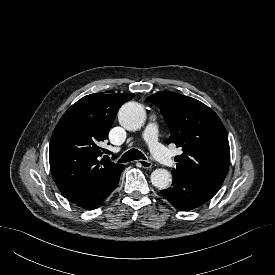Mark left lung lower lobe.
Wrapping results in <instances>:
<instances>
[{"instance_id": "1", "label": "left lung lower lobe", "mask_w": 275, "mask_h": 275, "mask_svg": "<svg viewBox=\"0 0 275 275\" xmlns=\"http://www.w3.org/2000/svg\"><path fill=\"white\" fill-rule=\"evenodd\" d=\"M218 189L195 180L173 175L172 186L162 190L161 194L176 208L186 211L200 207L207 202Z\"/></svg>"}]
</instances>
